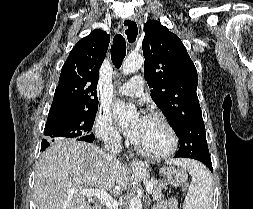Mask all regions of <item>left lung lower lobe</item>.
I'll list each match as a JSON object with an SVG mask.
<instances>
[{
	"label": "left lung lower lobe",
	"instance_id": "obj_1",
	"mask_svg": "<svg viewBox=\"0 0 253 209\" xmlns=\"http://www.w3.org/2000/svg\"><path fill=\"white\" fill-rule=\"evenodd\" d=\"M175 157H177V156L175 155ZM192 159H196V160L201 161L203 164H205L209 168L210 171H212V163H211L210 157H208V156L207 157H196V158H192Z\"/></svg>",
	"mask_w": 253,
	"mask_h": 209
}]
</instances>
